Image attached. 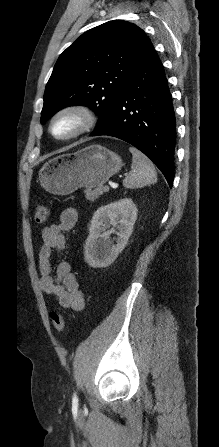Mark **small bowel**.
Wrapping results in <instances>:
<instances>
[{
  "label": "small bowel",
  "instance_id": "c3829d8e",
  "mask_svg": "<svg viewBox=\"0 0 219 447\" xmlns=\"http://www.w3.org/2000/svg\"><path fill=\"white\" fill-rule=\"evenodd\" d=\"M78 214L75 208L62 211L59 221L42 230L43 244L39 251L40 287L52 295L66 309L81 311L85 306V295L79 286L71 266L67 261L59 262L53 267L55 252L66 250L65 233L72 230L77 223Z\"/></svg>",
  "mask_w": 219,
  "mask_h": 447
}]
</instances>
